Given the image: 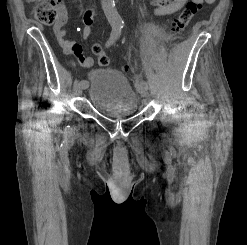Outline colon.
<instances>
[{
    "mask_svg": "<svg viewBox=\"0 0 247 245\" xmlns=\"http://www.w3.org/2000/svg\"><path fill=\"white\" fill-rule=\"evenodd\" d=\"M28 3L33 5L34 17L45 25H52L59 19V0H27ZM201 8L199 0H190L183 10L172 20L168 29V38L173 37L186 28L193 16ZM94 52L98 55V63L100 66H108L110 63L106 55L100 53L98 45H94ZM124 71H128V66H125Z\"/></svg>",
    "mask_w": 247,
    "mask_h": 245,
    "instance_id": "5ec220e1",
    "label": "colon"
}]
</instances>
